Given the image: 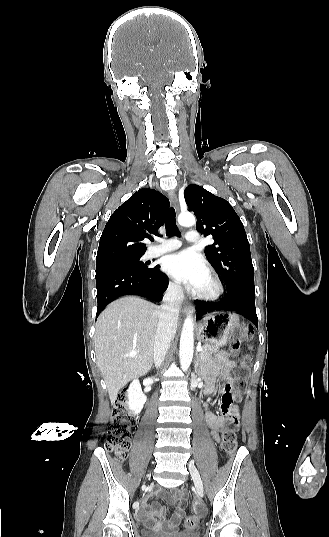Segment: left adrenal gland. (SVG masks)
I'll use <instances>...</instances> for the list:
<instances>
[{
	"label": "left adrenal gland",
	"mask_w": 329,
	"mask_h": 537,
	"mask_svg": "<svg viewBox=\"0 0 329 537\" xmlns=\"http://www.w3.org/2000/svg\"><path fill=\"white\" fill-rule=\"evenodd\" d=\"M198 364H199V358H198V355L196 356V362H195V371L197 372V367H198Z\"/></svg>",
	"instance_id": "left-adrenal-gland-1"
}]
</instances>
